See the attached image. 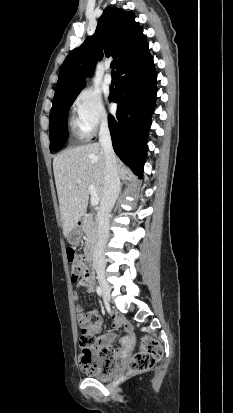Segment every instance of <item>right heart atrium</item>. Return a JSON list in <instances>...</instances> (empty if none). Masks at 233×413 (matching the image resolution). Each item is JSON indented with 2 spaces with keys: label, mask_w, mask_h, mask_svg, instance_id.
<instances>
[{
  "label": "right heart atrium",
  "mask_w": 233,
  "mask_h": 413,
  "mask_svg": "<svg viewBox=\"0 0 233 413\" xmlns=\"http://www.w3.org/2000/svg\"><path fill=\"white\" fill-rule=\"evenodd\" d=\"M76 120L86 136H91L108 123V114L101 97L91 91L82 90L74 101Z\"/></svg>",
  "instance_id": "1"
}]
</instances>
